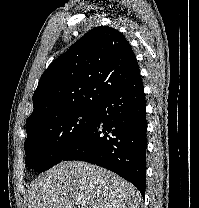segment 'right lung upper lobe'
Returning a JSON list of instances; mask_svg holds the SVG:
<instances>
[{
  "mask_svg": "<svg viewBox=\"0 0 199 208\" xmlns=\"http://www.w3.org/2000/svg\"><path fill=\"white\" fill-rule=\"evenodd\" d=\"M139 77L135 54L123 34L111 27H96L42 74L26 132L75 109L95 107L102 98Z\"/></svg>",
  "mask_w": 199,
  "mask_h": 208,
  "instance_id": "1",
  "label": "right lung upper lobe"
}]
</instances>
